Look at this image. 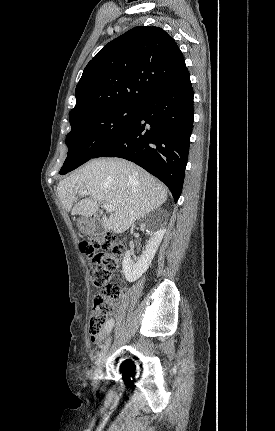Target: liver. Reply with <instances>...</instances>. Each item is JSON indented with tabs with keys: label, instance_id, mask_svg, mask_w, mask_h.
<instances>
[{
	"label": "liver",
	"instance_id": "liver-1",
	"mask_svg": "<svg viewBox=\"0 0 275 431\" xmlns=\"http://www.w3.org/2000/svg\"><path fill=\"white\" fill-rule=\"evenodd\" d=\"M57 191L62 206L72 215L88 218L97 212L101 203L111 204L114 211L109 217L103 215L101 224L117 234L128 230L137 219L167 200V190L160 181L120 158L89 161L61 180ZM80 191L90 192V198L78 201Z\"/></svg>",
	"mask_w": 275,
	"mask_h": 431
}]
</instances>
